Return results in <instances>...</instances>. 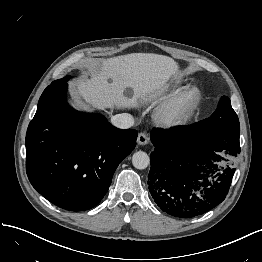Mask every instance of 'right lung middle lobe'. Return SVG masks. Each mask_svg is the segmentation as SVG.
I'll return each mask as SVG.
<instances>
[{
    "label": "right lung middle lobe",
    "mask_w": 262,
    "mask_h": 262,
    "mask_svg": "<svg viewBox=\"0 0 262 262\" xmlns=\"http://www.w3.org/2000/svg\"><path fill=\"white\" fill-rule=\"evenodd\" d=\"M69 78H70L69 76H66V77H64V78H62V79L53 81L51 84H52V85H61V84H63V83H67V81H68Z\"/></svg>",
    "instance_id": "obj_1"
}]
</instances>
